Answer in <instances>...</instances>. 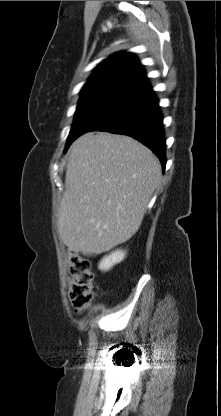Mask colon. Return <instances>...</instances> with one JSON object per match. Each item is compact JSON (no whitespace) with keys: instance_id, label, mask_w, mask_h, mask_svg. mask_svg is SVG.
<instances>
[{"instance_id":"1","label":"colon","mask_w":221,"mask_h":416,"mask_svg":"<svg viewBox=\"0 0 221 416\" xmlns=\"http://www.w3.org/2000/svg\"><path fill=\"white\" fill-rule=\"evenodd\" d=\"M67 261L70 272L69 298L73 308L83 312L90 306L94 295L91 262L73 250L67 253Z\"/></svg>"}]
</instances>
